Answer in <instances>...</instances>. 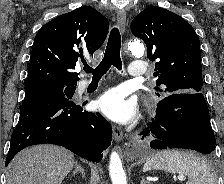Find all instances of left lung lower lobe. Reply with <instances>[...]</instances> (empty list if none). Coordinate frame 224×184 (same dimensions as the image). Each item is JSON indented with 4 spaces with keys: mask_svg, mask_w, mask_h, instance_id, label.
Listing matches in <instances>:
<instances>
[{
    "mask_svg": "<svg viewBox=\"0 0 224 184\" xmlns=\"http://www.w3.org/2000/svg\"><path fill=\"white\" fill-rule=\"evenodd\" d=\"M149 128L153 149L185 148L203 154L215 149L208 107L202 93H174L161 99ZM144 137V136H143ZM143 139V138H142Z\"/></svg>",
    "mask_w": 224,
    "mask_h": 184,
    "instance_id": "obj_1",
    "label": "left lung lower lobe"
}]
</instances>
